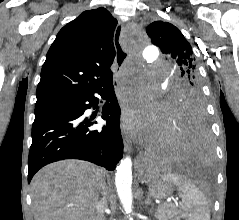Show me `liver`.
I'll return each mask as SVG.
<instances>
[{
    "label": "liver",
    "instance_id": "obj_1",
    "mask_svg": "<svg viewBox=\"0 0 239 220\" xmlns=\"http://www.w3.org/2000/svg\"><path fill=\"white\" fill-rule=\"evenodd\" d=\"M105 170L80 160L42 168L31 181L34 220H93Z\"/></svg>",
    "mask_w": 239,
    "mask_h": 220
}]
</instances>
